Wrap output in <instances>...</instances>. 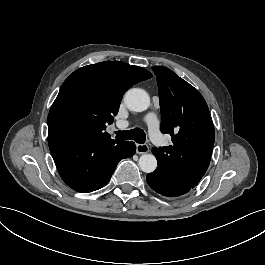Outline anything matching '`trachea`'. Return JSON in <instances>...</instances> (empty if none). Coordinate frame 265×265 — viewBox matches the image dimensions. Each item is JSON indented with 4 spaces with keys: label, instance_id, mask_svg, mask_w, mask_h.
<instances>
[{
    "label": "trachea",
    "instance_id": "trachea-1",
    "mask_svg": "<svg viewBox=\"0 0 265 265\" xmlns=\"http://www.w3.org/2000/svg\"><path fill=\"white\" fill-rule=\"evenodd\" d=\"M116 138L122 140H134L135 142L142 144L146 140L145 132L140 128L132 130L116 131Z\"/></svg>",
    "mask_w": 265,
    "mask_h": 265
}]
</instances>
